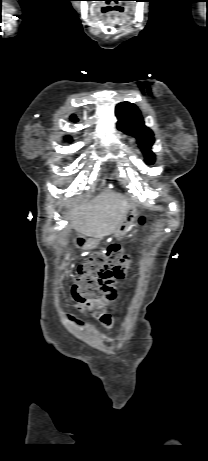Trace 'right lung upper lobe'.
Returning <instances> with one entry per match:
<instances>
[{"instance_id": "right-lung-upper-lobe-1", "label": "right lung upper lobe", "mask_w": 208, "mask_h": 461, "mask_svg": "<svg viewBox=\"0 0 208 461\" xmlns=\"http://www.w3.org/2000/svg\"><path fill=\"white\" fill-rule=\"evenodd\" d=\"M71 119L74 120V121H77V118H76L75 115H72V116H71Z\"/></svg>"}]
</instances>
